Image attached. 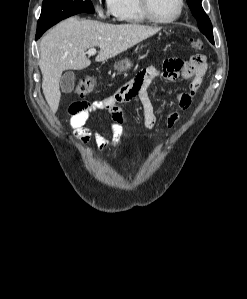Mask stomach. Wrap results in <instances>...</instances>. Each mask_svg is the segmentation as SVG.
I'll return each instance as SVG.
<instances>
[{"mask_svg": "<svg viewBox=\"0 0 247 299\" xmlns=\"http://www.w3.org/2000/svg\"><path fill=\"white\" fill-rule=\"evenodd\" d=\"M131 67H132V63L130 62L129 59H123V60L117 61L114 64V68H115V70L118 71V73L127 72L128 70L131 69Z\"/></svg>", "mask_w": 247, "mask_h": 299, "instance_id": "1", "label": "stomach"}]
</instances>
